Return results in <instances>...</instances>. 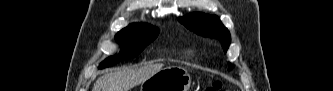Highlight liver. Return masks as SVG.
Returning <instances> with one entry per match:
<instances>
[{"instance_id":"1","label":"liver","mask_w":333,"mask_h":91,"mask_svg":"<svg viewBox=\"0 0 333 91\" xmlns=\"http://www.w3.org/2000/svg\"><path fill=\"white\" fill-rule=\"evenodd\" d=\"M164 67L163 64H146L136 68H122L99 77L92 91H130Z\"/></svg>"}]
</instances>
